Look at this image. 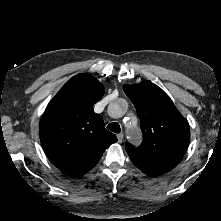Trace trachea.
I'll use <instances>...</instances> for the list:
<instances>
[{"mask_svg": "<svg viewBox=\"0 0 221 221\" xmlns=\"http://www.w3.org/2000/svg\"><path fill=\"white\" fill-rule=\"evenodd\" d=\"M107 129H109L110 131L114 133H120V125L117 122L110 123L107 126Z\"/></svg>", "mask_w": 221, "mask_h": 221, "instance_id": "1", "label": "trachea"}]
</instances>
